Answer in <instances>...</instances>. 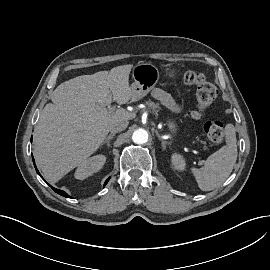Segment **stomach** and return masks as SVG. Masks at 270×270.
I'll use <instances>...</instances> for the list:
<instances>
[{"instance_id": "1", "label": "stomach", "mask_w": 270, "mask_h": 270, "mask_svg": "<svg viewBox=\"0 0 270 270\" xmlns=\"http://www.w3.org/2000/svg\"><path fill=\"white\" fill-rule=\"evenodd\" d=\"M166 75L174 77L176 75L175 69H167ZM132 77L134 82L130 89L132 92V100L136 101L146 96L156 85L159 79V70L151 63L141 62L134 66ZM169 129L175 132L176 127L173 122H169Z\"/></svg>"}]
</instances>
